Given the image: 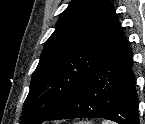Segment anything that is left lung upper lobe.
Instances as JSON below:
<instances>
[{"label": "left lung upper lobe", "mask_w": 145, "mask_h": 124, "mask_svg": "<svg viewBox=\"0 0 145 124\" xmlns=\"http://www.w3.org/2000/svg\"><path fill=\"white\" fill-rule=\"evenodd\" d=\"M123 41L109 0H72L44 46L21 124H41L54 114Z\"/></svg>", "instance_id": "obj_1"}]
</instances>
